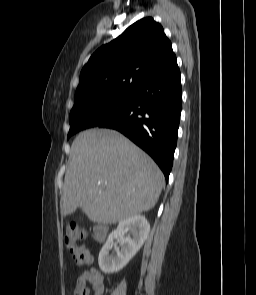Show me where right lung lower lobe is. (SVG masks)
Returning a JSON list of instances; mask_svg holds the SVG:
<instances>
[{"label": "right lung lower lobe", "mask_w": 256, "mask_h": 295, "mask_svg": "<svg viewBox=\"0 0 256 295\" xmlns=\"http://www.w3.org/2000/svg\"><path fill=\"white\" fill-rule=\"evenodd\" d=\"M182 105L180 71L176 56L144 81L135 91L133 105L109 119L87 122L89 127L115 129L145 150L168 180Z\"/></svg>", "instance_id": "1"}]
</instances>
